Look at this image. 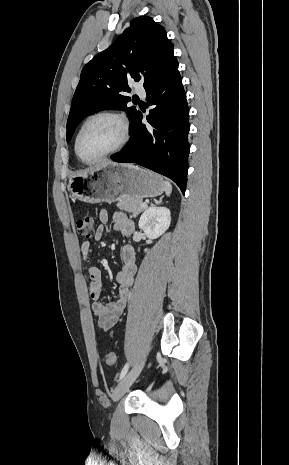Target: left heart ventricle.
Masks as SVG:
<instances>
[{
    "label": "left heart ventricle",
    "instance_id": "b2bd125f",
    "mask_svg": "<svg viewBox=\"0 0 289 465\" xmlns=\"http://www.w3.org/2000/svg\"><path fill=\"white\" fill-rule=\"evenodd\" d=\"M122 137L120 125L113 119L99 117L90 121L79 139V153L85 160H91L113 149Z\"/></svg>",
    "mask_w": 289,
    "mask_h": 465
}]
</instances>
